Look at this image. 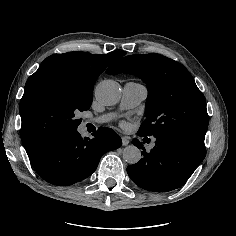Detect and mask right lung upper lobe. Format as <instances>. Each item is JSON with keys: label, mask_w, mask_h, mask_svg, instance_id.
<instances>
[{"label": "right lung upper lobe", "mask_w": 236, "mask_h": 236, "mask_svg": "<svg viewBox=\"0 0 236 236\" xmlns=\"http://www.w3.org/2000/svg\"><path fill=\"white\" fill-rule=\"evenodd\" d=\"M125 55L115 51L98 55L87 52H68L47 57L35 73L45 70H66L75 73L85 82L96 81L98 76L115 60Z\"/></svg>", "instance_id": "obj_1"}]
</instances>
